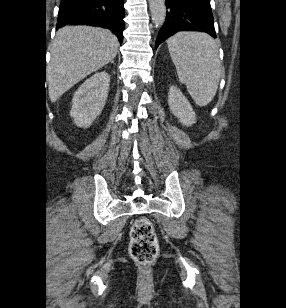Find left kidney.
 I'll use <instances>...</instances> for the list:
<instances>
[{"label":"left kidney","mask_w":286,"mask_h":308,"mask_svg":"<svg viewBox=\"0 0 286 308\" xmlns=\"http://www.w3.org/2000/svg\"><path fill=\"white\" fill-rule=\"evenodd\" d=\"M168 104L171 112L179 119L180 123L185 126L196 123V114L191 104L176 86L170 87Z\"/></svg>","instance_id":"left-kidney-1"}]
</instances>
